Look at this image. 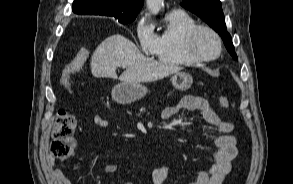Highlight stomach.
I'll return each mask as SVG.
<instances>
[{
    "label": "stomach",
    "mask_w": 293,
    "mask_h": 184,
    "mask_svg": "<svg viewBox=\"0 0 293 184\" xmlns=\"http://www.w3.org/2000/svg\"><path fill=\"white\" fill-rule=\"evenodd\" d=\"M171 81L175 89L184 91L191 87L193 78L186 72H177ZM147 92V88L140 82H121L112 89V97L120 104H130L144 97Z\"/></svg>",
    "instance_id": "obj_1"
}]
</instances>
